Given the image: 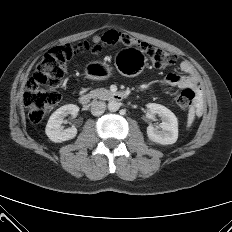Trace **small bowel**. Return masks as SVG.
<instances>
[{"label":"small bowel","mask_w":232,"mask_h":232,"mask_svg":"<svg viewBox=\"0 0 232 232\" xmlns=\"http://www.w3.org/2000/svg\"><path fill=\"white\" fill-rule=\"evenodd\" d=\"M180 73H169L162 80V86L180 87L185 89H195L198 96L202 93L200 79L195 71L194 66L188 60H183L179 66Z\"/></svg>","instance_id":"obj_1"}]
</instances>
